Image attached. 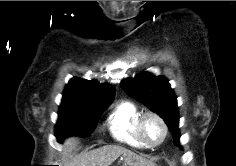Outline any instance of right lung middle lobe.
Wrapping results in <instances>:
<instances>
[{
	"label": "right lung middle lobe",
	"instance_id": "1",
	"mask_svg": "<svg viewBox=\"0 0 236 166\" xmlns=\"http://www.w3.org/2000/svg\"><path fill=\"white\" fill-rule=\"evenodd\" d=\"M107 107L61 104L55 126L57 139L62 141L70 135L89 136L94 132L99 117Z\"/></svg>",
	"mask_w": 236,
	"mask_h": 166
}]
</instances>
